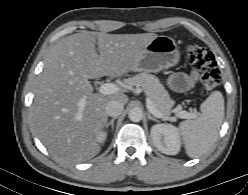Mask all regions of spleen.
Listing matches in <instances>:
<instances>
[{
  "mask_svg": "<svg viewBox=\"0 0 248 195\" xmlns=\"http://www.w3.org/2000/svg\"><path fill=\"white\" fill-rule=\"evenodd\" d=\"M201 114L193 120L179 124L186 153L191 158L206 154L218 138L224 118V98L221 92L214 91L200 106Z\"/></svg>",
  "mask_w": 248,
  "mask_h": 195,
  "instance_id": "spleen-1",
  "label": "spleen"
}]
</instances>
